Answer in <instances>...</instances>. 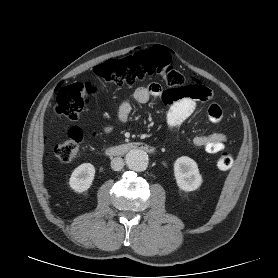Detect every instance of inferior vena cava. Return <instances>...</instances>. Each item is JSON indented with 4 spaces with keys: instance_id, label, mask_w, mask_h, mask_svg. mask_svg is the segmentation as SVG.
Wrapping results in <instances>:
<instances>
[{
    "instance_id": "1",
    "label": "inferior vena cava",
    "mask_w": 278,
    "mask_h": 278,
    "mask_svg": "<svg viewBox=\"0 0 278 278\" xmlns=\"http://www.w3.org/2000/svg\"><path fill=\"white\" fill-rule=\"evenodd\" d=\"M124 160L121 157H115L111 161V168L114 171H120L124 167Z\"/></svg>"
}]
</instances>
